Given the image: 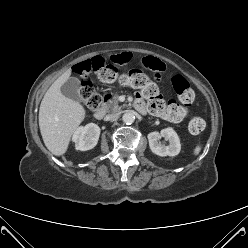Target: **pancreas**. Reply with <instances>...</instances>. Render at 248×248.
Returning <instances> with one entry per match:
<instances>
[{
	"mask_svg": "<svg viewBox=\"0 0 248 248\" xmlns=\"http://www.w3.org/2000/svg\"><path fill=\"white\" fill-rule=\"evenodd\" d=\"M123 106L119 105L118 96L115 95L107 104L106 109L107 111L111 112H120Z\"/></svg>",
	"mask_w": 248,
	"mask_h": 248,
	"instance_id": "pancreas-1",
	"label": "pancreas"
}]
</instances>
